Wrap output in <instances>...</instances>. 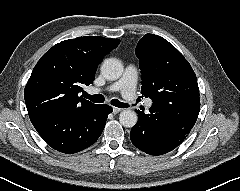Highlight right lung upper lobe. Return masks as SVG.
Returning <instances> with one entry per match:
<instances>
[{
  "mask_svg": "<svg viewBox=\"0 0 240 191\" xmlns=\"http://www.w3.org/2000/svg\"><path fill=\"white\" fill-rule=\"evenodd\" d=\"M119 39L85 36L62 41L38 61L26 84L24 98L30 120L56 110H82L95 104L78 94L93 83L102 58Z\"/></svg>",
  "mask_w": 240,
  "mask_h": 191,
  "instance_id": "right-lung-upper-lobe-1",
  "label": "right lung upper lobe"
}]
</instances>
